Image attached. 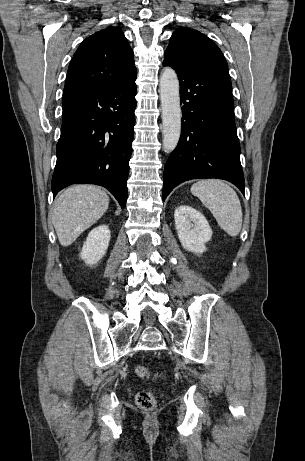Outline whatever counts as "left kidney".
<instances>
[{"instance_id": "5707ae66", "label": "left kidney", "mask_w": 305, "mask_h": 461, "mask_svg": "<svg viewBox=\"0 0 305 461\" xmlns=\"http://www.w3.org/2000/svg\"><path fill=\"white\" fill-rule=\"evenodd\" d=\"M174 219L183 248L196 254L205 252V243L211 240L212 230L204 215L191 206L181 205L175 210Z\"/></svg>"}]
</instances>
